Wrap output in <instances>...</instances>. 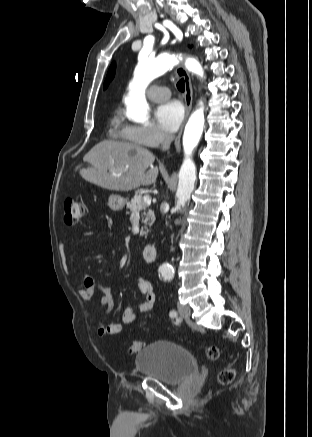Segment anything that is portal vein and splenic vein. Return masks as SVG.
Wrapping results in <instances>:
<instances>
[{"mask_svg":"<svg viewBox=\"0 0 312 437\" xmlns=\"http://www.w3.org/2000/svg\"><path fill=\"white\" fill-rule=\"evenodd\" d=\"M143 200L146 204H148V205L151 204V197L150 196H148V195L144 196Z\"/></svg>","mask_w":312,"mask_h":437,"instance_id":"portal-vein-and-splenic-vein-1","label":"portal vein and splenic vein"}]
</instances>
